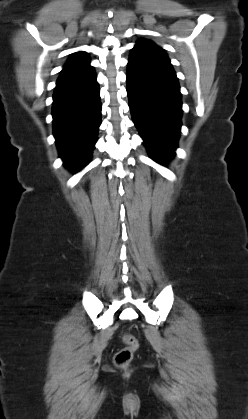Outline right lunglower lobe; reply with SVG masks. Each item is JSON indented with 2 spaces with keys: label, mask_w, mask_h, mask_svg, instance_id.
Listing matches in <instances>:
<instances>
[{
  "label": "right lung lower lobe",
  "mask_w": 248,
  "mask_h": 419,
  "mask_svg": "<svg viewBox=\"0 0 248 419\" xmlns=\"http://www.w3.org/2000/svg\"><path fill=\"white\" fill-rule=\"evenodd\" d=\"M96 74L89 62L61 72L53 95V134L64 165L74 172L91 158L101 124Z\"/></svg>",
  "instance_id": "right-lung-lower-lobe-1"
}]
</instances>
